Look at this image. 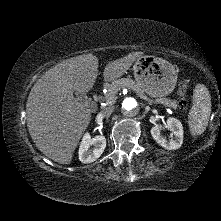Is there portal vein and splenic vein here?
<instances>
[{
	"label": "portal vein and splenic vein",
	"mask_w": 221,
	"mask_h": 221,
	"mask_svg": "<svg viewBox=\"0 0 221 221\" xmlns=\"http://www.w3.org/2000/svg\"><path fill=\"white\" fill-rule=\"evenodd\" d=\"M135 91V90H134ZM141 98L151 102V103H154V104H164L162 100H153V99H149L147 96L145 95H139Z\"/></svg>",
	"instance_id": "1"
}]
</instances>
